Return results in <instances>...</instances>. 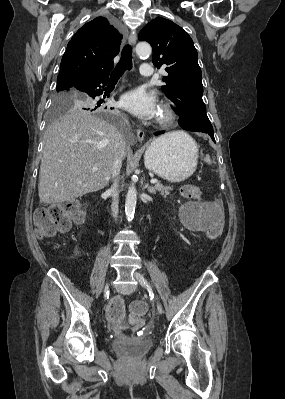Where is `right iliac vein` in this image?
<instances>
[{
  "label": "right iliac vein",
  "instance_id": "63e3f726",
  "mask_svg": "<svg viewBox=\"0 0 285 399\" xmlns=\"http://www.w3.org/2000/svg\"><path fill=\"white\" fill-rule=\"evenodd\" d=\"M108 289H109V285H108V283H106L104 290H108Z\"/></svg>",
  "mask_w": 285,
  "mask_h": 399
}]
</instances>
